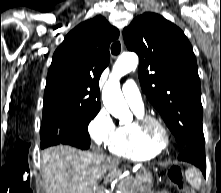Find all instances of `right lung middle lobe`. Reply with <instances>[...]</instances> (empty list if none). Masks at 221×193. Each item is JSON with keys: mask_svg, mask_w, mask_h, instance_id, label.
I'll return each instance as SVG.
<instances>
[{"mask_svg": "<svg viewBox=\"0 0 221 193\" xmlns=\"http://www.w3.org/2000/svg\"><path fill=\"white\" fill-rule=\"evenodd\" d=\"M98 112L99 110L43 111L41 148L64 143L88 149L90 136L87 126Z\"/></svg>", "mask_w": 221, "mask_h": 193, "instance_id": "1", "label": "right lung middle lobe"}]
</instances>
